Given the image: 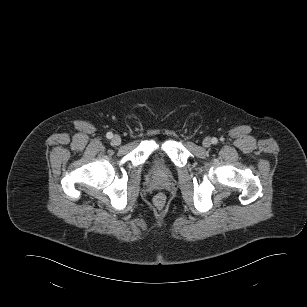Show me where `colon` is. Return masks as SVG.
<instances>
[{"label": "colon", "mask_w": 307, "mask_h": 307, "mask_svg": "<svg viewBox=\"0 0 307 307\" xmlns=\"http://www.w3.org/2000/svg\"><path fill=\"white\" fill-rule=\"evenodd\" d=\"M155 202L157 205H163L164 202H165V196L163 194H158L156 197H155Z\"/></svg>", "instance_id": "obj_1"}]
</instances>
